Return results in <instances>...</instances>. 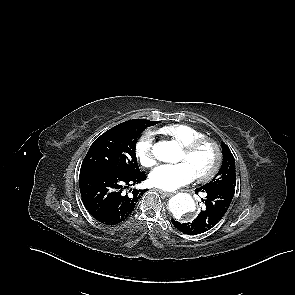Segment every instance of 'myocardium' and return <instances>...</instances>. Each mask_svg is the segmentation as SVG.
Returning a JSON list of instances; mask_svg holds the SVG:
<instances>
[{
    "label": "myocardium",
    "instance_id": "1",
    "mask_svg": "<svg viewBox=\"0 0 295 295\" xmlns=\"http://www.w3.org/2000/svg\"><path fill=\"white\" fill-rule=\"evenodd\" d=\"M209 144L212 146L215 152V160L212 167L205 173L197 175V179L200 181H208L212 179L220 169L222 163V151L220 145L212 138L203 137L193 141L192 143L183 147V151L187 155L194 154L199 150L203 145Z\"/></svg>",
    "mask_w": 295,
    "mask_h": 295
}]
</instances>
